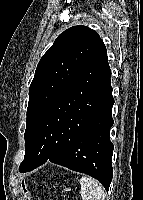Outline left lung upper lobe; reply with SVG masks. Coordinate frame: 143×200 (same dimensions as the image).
I'll use <instances>...</instances> for the list:
<instances>
[{
  "mask_svg": "<svg viewBox=\"0 0 143 200\" xmlns=\"http://www.w3.org/2000/svg\"><path fill=\"white\" fill-rule=\"evenodd\" d=\"M104 48L96 31L74 26L61 33L41 58L29 87L25 157L19 170H24L31 159L33 130L40 114Z\"/></svg>",
  "mask_w": 143,
  "mask_h": 200,
  "instance_id": "1",
  "label": "left lung upper lobe"
}]
</instances>
